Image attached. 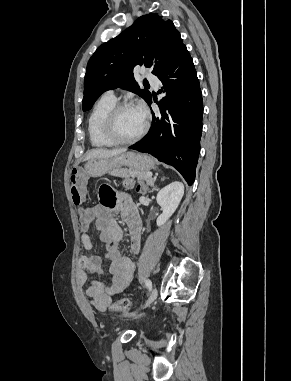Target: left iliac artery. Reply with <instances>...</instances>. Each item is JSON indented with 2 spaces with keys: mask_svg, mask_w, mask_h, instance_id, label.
Returning a JSON list of instances; mask_svg holds the SVG:
<instances>
[{
  "mask_svg": "<svg viewBox=\"0 0 291 381\" xmlns=\"http://www.w3.org/2000/svg\"><path fill=\"white\" fill-rule=\"evenodd\" d=\"M145 285L148 288V290L151 291V289H152V282H151V280L146 279L145 280Z\"/></svg>",
  "mask_w": 291,
  "mask_h": 381,
  "instance_id": "1",
  "label": "left iliac artery"
}]
</instances>
